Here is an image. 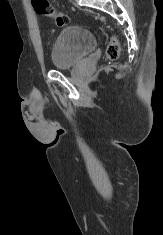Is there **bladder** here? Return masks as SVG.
Segmentation results:
<instances>
[{"instance_id": "obj_1", "label": "bladder", "mask_w": 163, "mask_h": 235, "mask_svg": "<svg viewBox=\"0 0 163 235\" xmlns=\"http://www.w3.org/2000/svg\"><path fill=\"white\" fill-rule=\"evenodd\" d=\"M96 45V36L90 30L79 25L68 26L58 34L52 46V65L55 69L75 67Z\"/></svg>"}]
</instances>
